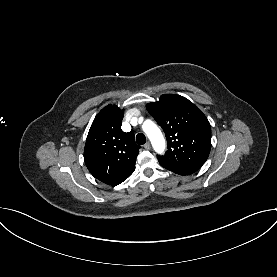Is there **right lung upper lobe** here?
Instances as JSON below:
<instances>
[{"instance_id":"cb5924a9","label":"right lung upper lobe","mask_w":277,"mask_h":277,"mask_svg":"<svg viewBox=\"0 0 277 277\" xmlns=\"http://www.w3.org/2000/svg\"><path fill=\"white\" fill-rule=\"evenodd\" d=\"M123 112L116 105H107L95 117L89 130L84 161L90 173L103 183L116 186L135 170L140 146L132 131L121 129Z\"/></svg>"}]
</instances>
